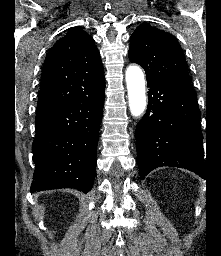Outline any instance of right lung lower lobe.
<instances>
[{"mask_svg":"<svg viewBox=\"0 0 221 256\" xmlns=\"http://www.w3.org/2000/svg\"><path fill=\"white\" fill-rule=\"evenodd\" d=\"M105 88L36 114L31 192L93 187Z\"/></svg>","mask_w":221,"mask_h":256,"instance_id":"obj_1","label":"right lung lower lobe"}]
</instances>
